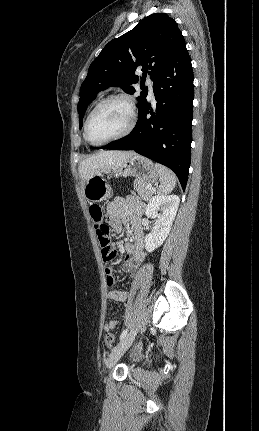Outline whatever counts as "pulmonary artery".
<instances>
[{"label":"pulmonary artery","instance_id":"1","mask_svg":"<svg viewBox=\"0 0 259 431\" xmlns=\"http://www.w3.org/2000/svg\"><path fill=\"white\" fill-rule=\"evenodd\" d=\"M147 84H148V87H149V96H150V98H154L153 82H152V80L148 79Z\"/></svg>","mask_w":259,"mask_h":431}]
</instances>
